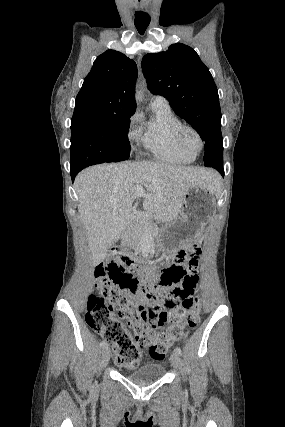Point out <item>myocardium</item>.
Masks as SVG:
<instances>
[{
    "instance_id": "1",
    "label": "myocardium",
    "mask_w": 285,
    "mask_h": 427,
    "mask_svg": "<svg viewBox=\"0 0 285 427\" xmlns=\"http://www.w3.org/2000/svg\"><path fill=\"white\" fill-rule=\"evenodd\" d=\"M186 132H191L193 133L199 143V147L197 150L192 151L190 149L187 148V146L184 143V139L183 136ZM175 138L177 141V144L179 145V147L186 153L191 154L193 156L198 155L204 148V141L202 138V135L200 134V132L193 126L188 125V124H180L176 129H175Z\"/></svg>"
}]
</instances>
